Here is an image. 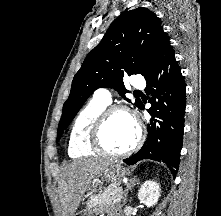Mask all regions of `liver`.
Here are the masks:
<instances>
[{
  "label": "liver",
  "instance_id": "obj_1",
  "mask_svg": "<svg viewBox=\"0 0 221 216\" xmlns=\"http://www.w3.org/2000/svg\"><path fill=\"white\" fill-rule=\"evenodd\" d=\"M115 163L112 159H80L65 166L58 192L63 216H73L85 191Z\"/></svg>",
  "mask_w": 221,
  "mask_h": 216
}]
</instances>
